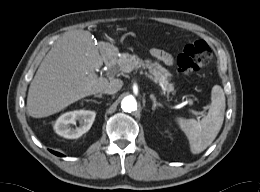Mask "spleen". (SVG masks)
<instances>
[{"label": "spleen", "mask_w": 260, "mask_h": 192, "mask_svg": "<svg viewBox=\"0 0 260 192\" xmlns=\"http://www.w3.org/2000/svg\"><path fill=\"white\" fill-rule=\"evenodd\" d=\"M225 107L224 91L221 86L215 85L211 91L208 114L201 121L182 117L176 118L180 129L189 140L191 153H201L214 141L224 121Z\"/></svg>", "instance_id": "obj_1"}]
</instances>
